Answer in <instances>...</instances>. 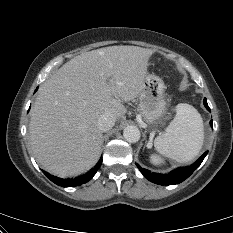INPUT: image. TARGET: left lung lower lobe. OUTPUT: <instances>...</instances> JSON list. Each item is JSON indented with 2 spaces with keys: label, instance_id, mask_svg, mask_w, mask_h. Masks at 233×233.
I'll list each match as a JSON object with an SVG mask.
<instances>
[{
  "label": "left lung lower lobe",
  "instance_id": "obj_1",
  "mask_svg": "<svg viewBox=\"0 0 233 233\" xmlns=\"http://www.w3.org/2000/svg\"><path fill=\"white\" fill-rule=\"evenodd\" d=\"M204 105L208 111L210 108L207 104L206 98L204 99ZM210 125L212 126V120L210 121ZM208 151H206L194 164L187 167H180L169 174H159V173H151L150 171L141 168L138 164L137 167L141 171V173L151 182L159 184V185H173L179 184L187 179L202 163L203 159L207 155Z\"/></svg>",
  "mask_w": 233,
  "mask_h": 233
}]
</instances>
